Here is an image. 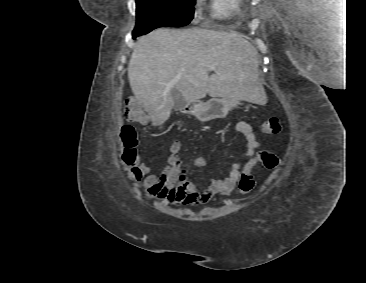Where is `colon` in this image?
Listing matches in <instances>:
<instances>
[{"label": "colon", "instance_id": "5ec220e1", "mask_svg": "<svg viewBox=\"0 0 366 283\" xmlns=\"http://www.w3.org/2000/svg\"><path fill=\"white\" fill-rule=\"evenodd\" d=\"M123 112L125 118L129 122H141L143 120L142 109L134 99H127L125 101ZM281 130L282 120L277 116L268 118L261 125V131L266 135H276L280 133ZM121 136L126 145V150L123 155L124 160L126 162H132L136 157L135 148L138 142L133 127L125 126L122 130ZM257 163H261L266 169L274 170L278 168L280 161L275 154L269 151L264 150L259 152L255 160L245 166L239 178L238 189L243 195L250 193L255 186L252 170Z\"/></svg>", "mask_w": 366, "mask_h": 283}]
</instances>
